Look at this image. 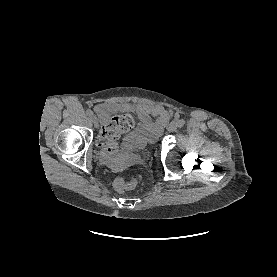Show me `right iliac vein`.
<instances>
[{
    "label": "right iliac vein",
    "mask_w": 277,
    "mask_h": 277,
    "mask_svg": "<svg viewBox=\"0 0 277 277\" xmlns=\"http://www.w3.org/2000/svg\"><path fill=\"white\" fill-rule=\"evenodd\" d=\"M91 120H92L94 126L97 127L98 126V119H97V117L96 116H92Z\"/></svg>",
    "instance_id": "1"
}]
</instances>
